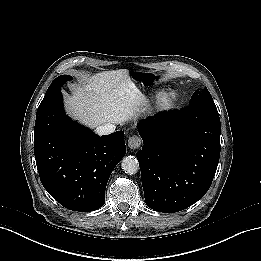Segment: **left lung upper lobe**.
I'll use <instances>...</instances> for the list:
<instances>
[{"label":"left lung upper lobe","instance_id":"5c2ea615","mask_svg":"<svg viewBox=\"0 0 261 261\" xmlns=\"http://www.w3.org/2000/svg\"><path fill=\"white\" fill-rule=\"evenodd\" d=\"M189 106H196V107H203V108L217 110L207 88H205L202 91H196L190 100Z\"/></svg>","mask_w":261,"mask_h":261}]
</instances>
